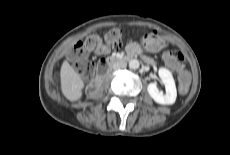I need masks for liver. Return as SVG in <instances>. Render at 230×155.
<instances>
[{
	"instance_id": "1",
	"label": "liver",
	"mask_w": 230,
	"mask_h": 155,
	"mask_svg": "<svg viewBox=\"0 0 230 155\" xmlns=\"http://www.w3.org/2000/svg\"><path fill=\"white\" fill-rule=\"evenodd\" d=\"M60 80L62 93L68 100L77 101L81 98L84 82L67 60L62 63Z\"/></svg>"
}]
</instances>
